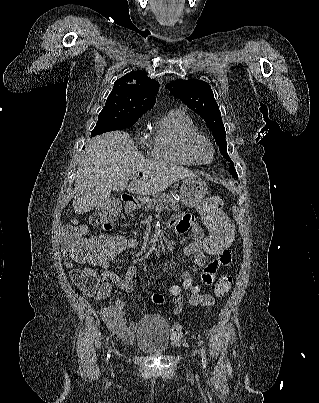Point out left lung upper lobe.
<instances>
[{
	"mask_svg": "<svg viewBox=\"0 0 319 403\" xmlns=\"http://www.w3.org/2000/svg\"><path fill=\"white\" fill-rule=\"evenodd\" d=\"M166 88L174 97L180 99L188 108L205 120L219 145L220 153L233 164L227 153L226 132L221 112L209 84L195 79H178L166 84ZM229 172L234 177H238L233 166L229 167Z\"/></svg>",
	"mask_w": 319,
	"mask_h": 403,
	"instance_id": "1",
	"label": "left lung upper lobe"
}]
</instances>
